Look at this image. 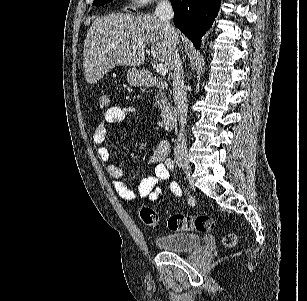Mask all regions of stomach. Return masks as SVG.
Segmentation results:
<instances>
[{
    "label": "stomach",
    "instance_id": "obj_1",
    "mask_svg": "<svg viewBox=\"0 0 307 301\" xmlns=\"http://www.w3.org/2000/svg\"><path fill=\"white\" fill-rule=\"evenodd\" d=\"M127 82H129L131 86H143L144 82H146V78L142 70L132 66V68H129L127 72Z\"/></svg>",
    "mask_w": 307,
    "mask_h": 301
}]
</instances>
